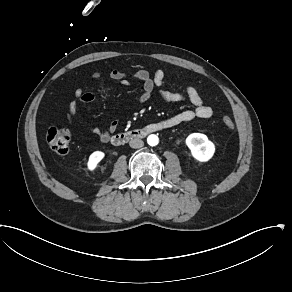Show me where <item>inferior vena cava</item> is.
Instances as JSON below:
<instances>
[{
    "instance_id": "602c4592",
    "label": "inferior vena cava",
    "mask_w": 292,
    "mask_h": 292,
    "mask_svg": "<svg viewBox=\"0 0 292 292\" xmlns=\"http://www.w3.org/2000/svg\"><path fill=\"white\" fill-rule=\"evenodd\" d=\"M129 145L131 148H141L144 146V142L139 138H135L130 140Z\"/></svg>"
}]
</instances>
